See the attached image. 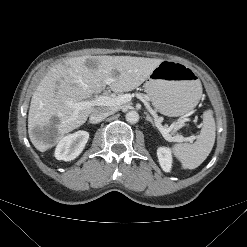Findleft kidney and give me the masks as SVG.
<instances>
[{
	"mask_svg": "<svg viewBox=\"0 0 247 247\" xmlns=\"http://www.w3.org/2000/svg\"><path fill=\"white\" fill-rule=\"evenodd\" d=\"M159 164L163 171L170 172L172 168V154L169 148L160 147L157 149Z\"/></svg>",
	"mask_w": 247,
	"mask_h": 247,
	"instance_id": "5707ae66",
	"label": "left kidney"
}]
</instances>
